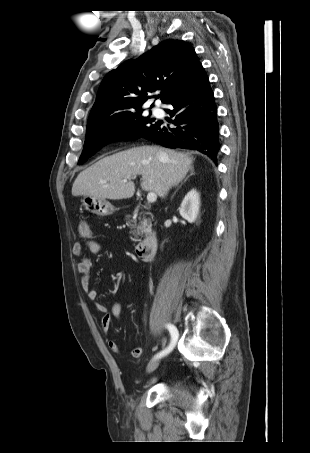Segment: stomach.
<instances>
[{
	"label": "stomach",
	"mask_w": 310,
	"mask_h": 453,
	"mask_svg": "<svg viewBox=\"0 0 310 453\" xmlns=\"http://www.w3.org/2000/svg\"><path fill=\"white\" fill-rule=\"evenodd\" d=\"M82 204L86 210L98 216H108L116 210L106 199H99L92 196H84Z\"/></svg>",
	"instance_id": "stomach-1"
}]
</instances>
